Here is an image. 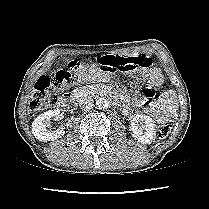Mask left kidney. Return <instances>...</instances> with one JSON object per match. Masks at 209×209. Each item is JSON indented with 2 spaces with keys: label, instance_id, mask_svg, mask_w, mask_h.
I'll list each match as a JSON object with an SVG mask.
<instances>
[{
  "label": "left kidney",
  "instance_id": "5707ae66",
  "mask_svg": "<svg viewBox=\"0 0 209 209\" xmlns=\"http://www.w3.org/2000/svg\"><path fill=\"white\" fill-rule=\"evenodd\" d=\"M130 131L132 136L143 144H151L156 136L154 121L145 114H137L133 117Z\"/></svg>",
  "mask_w": 209,
  "mask_h": 209
}]
</instances>
